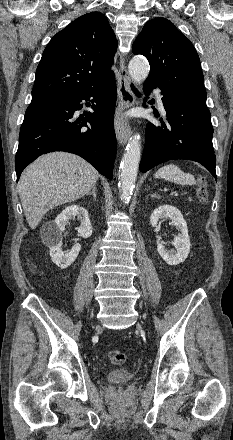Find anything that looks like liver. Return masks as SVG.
Here are the masks:
<instances>
[{
	"label": "liver",
	"mask_w": 233,
	"mask_h": 440,
	"mask_svg": "<svg viewBox=\"0 0 233 440\" xmlns=\"http://www.w3.org/2000/svg\"><path fill=\"white\" fill-rule=\"evenodd\" d=\"M98 171L81 157L53 152L30 164L19 179L18 191L31 229L50 209L73 202L96 185Z\"/></svg>",
	"instance_id": "liver-1"
}]
</instances>
